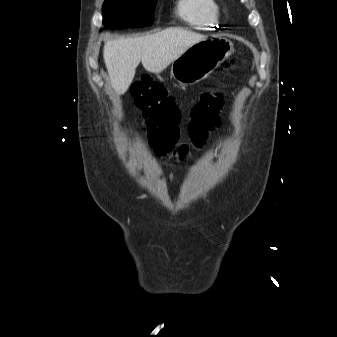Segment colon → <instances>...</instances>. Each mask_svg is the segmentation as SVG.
<instances>
[{
  "instance_id": "1",
  "label": "colon",
  "mask_w": 337,
  "mask_h": 337,
  "mask_svg": "<svg viewBox=\"0 0 337 337\" xmlns=\"http://www.w3.org/2000/svg\"><path fill=\"white\" fill-rule=\"evenodd\" d=\"M236 61L226 64L232 68ZM131 95L143 112L150 146L159 157L184 158L190 148H203L209 134L220 124L219 112L223 107L221 94L204 90L192 110L188 126L189 140L180 142V111L175 99L149 75H142L131 86Z\"/></svg>"
}]
</instances>
